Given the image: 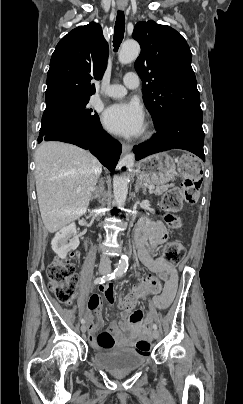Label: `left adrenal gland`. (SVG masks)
I'll use <instances>...</instances> for the list:
<instances>
[{
  "label": "left adrenal gland",
  "mask_w": 243,
  "mask_h": 404,
  "mask_svg": "<svg viewBox=\"0 0 243 404\" xmlns=\"http://www.w3.org/2000/svg\"><path fill=\"white\" fill-rule=\"evenodd\" d=\"M139 188H142L143 194H146V188H144V186H141L140 180H137V182L135 184V192H136V194H137V192H139Z\"/></svg>",
  "instance_id": "1"
}]
</instances>
